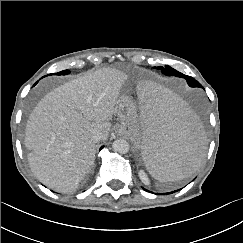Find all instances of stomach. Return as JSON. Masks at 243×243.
Returning a JSON list of instances; mask_svg holds the SVG:
<instances>
[{
  "label": "stomach",
  "instance_id": "stomach-1",
  "mask_svg": "<svg viewBox=\"0 0 243 243\" xmlns=\"http://www.w3.org/2000/svg\"><path fill=\"white\" fill-rule=\"evenodd\" d=\"M115 114L120 122L118 124V133L128 136L132 142L140 146L141 138L139 135L137 108L129 96H119Z\"/></svg>",
  "mask_w": 243,
  "mask_h": 243
}]
</instances>
